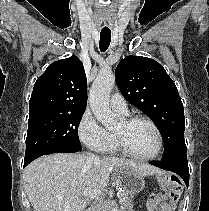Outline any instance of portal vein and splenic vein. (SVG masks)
I'll use <instances>...</instances> for the list:
<instances>
[{
  "mask_svg": "<svg viewBox=\"0 0 209 211\" xmlns=\"http://www.w3.org/2000/svg\"><path fill=\"white\" fill-rule=\"evenodd\" d=\"M102 192L101 190H96V189H91V188H86L83 192V196L94 199L98 198L101 196ZM122 194L121 192H117V197H121Z\"/></svg>",
  "mask_w": 209,
  "mask_h": 211,
  "instance_id": "18ae733b",
  "label": "portal vein and splenic vein"
}]
</instances>
